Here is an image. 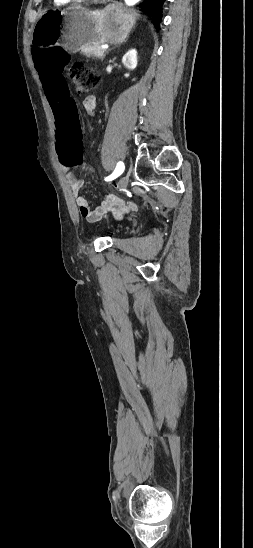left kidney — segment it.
<instances>
[{
	"label": "left kidney",
	"instance_id": "obj_1",
	"mask_svg": "<svg viewBox=\"0 0 253 548\" xmlns=\"http://www.w3.org/2000/svg\"><path fill=\"white\" fill-rule=\"evenodd\" d=\"M137 62V51L135 49L128 51L122 58V63L128 70H134L137 67Z\"/></svg>",
	"mask_w": 253,
	"mask_h": 548
}]
</instances>
